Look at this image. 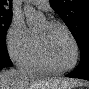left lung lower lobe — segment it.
<instances>
[{
  "label": "left lung lower lobe",
  "mask_w": 89,
  "mask_h": 89,
  "mask_svg": "<svg viewBox=\"0 0 89 89\" xmlns=\"http://www.w3.org/2000/svg\"><path fill=\"white\" fill-rule=\"evenodd\" d=\"M88 72H89V50H86L81 52V59L77 68L66 76L89 80Z\"/></svg>",
  "instance_id": "left-lung-lower-lobe-1"
}]
</instances>
